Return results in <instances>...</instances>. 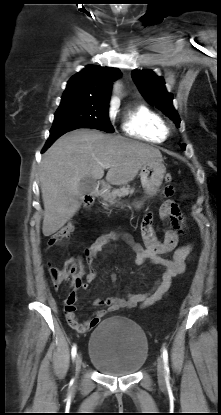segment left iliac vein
Here are the masks:
<instances>
[{
    "instance_id": "left-iliac-vein-1",
    "label": "left iliac vein",
    "mask_w": 221,
    "mask_h": 415,
    "mask_svg": "<svg viewBox=\"0 0 221 415\" xmlns=\"http://www.w3.org/2000/svg\"><path fill=\"white\" fill-rule=\"evenodd\" d=\"M157 376L160 382L165 381V367L162 357H159L157 360Z\"/></svg>"
}]
</instances>
